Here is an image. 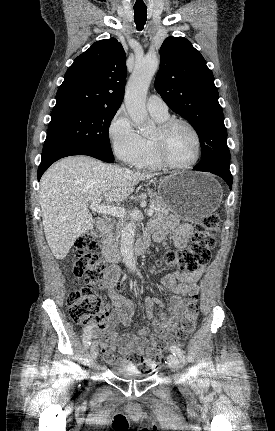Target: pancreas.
<instances>
[{
    "label": "pancreas",
    "mask_w": 275,
    "mask_h": 431,
    "mask_svg": "<svg viewBox=\"0 0 275 431\" xmlns=\"http://www.w3.org/2000/svg\"><path fill=\"white\" fill-rule=\"evenodd\" d=\"M148 194L150 196V205L152 207V209L156 212V215L159 214H168V212L170 211L169 206L162 200V198L160 196H157V194L152 191L149 190ZM124 224L123 220H118L115 224V232L114 230V225L111 224L107 227L103 237H104V241L103 244L107 245V246H115L116 245V241L119 237L120 234V230L122 225Z\"/></svg>",
    "instance_id": "obj_1"
}]
</instances>
